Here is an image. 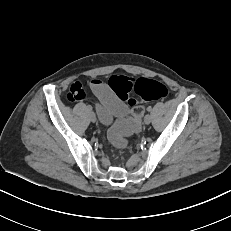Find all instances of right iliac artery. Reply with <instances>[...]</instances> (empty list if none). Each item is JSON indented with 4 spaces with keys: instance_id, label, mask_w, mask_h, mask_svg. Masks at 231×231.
<instances>
[{
    "instance_id": "obj_1",
    "label": "right iliac artery",
    "mask_w": 231,
    "mask_h": 231,
    "mask_svg": "<svg viewBox=\"0 0 231 231\" xmlns=\"http://www.w3.org/2000/svg\"><path fill=\"white\" fill-rule=\"evenodd\" d=\"M88 111H92V107L90 105L87 106Z\"/></svg>"
}]
</instances>
